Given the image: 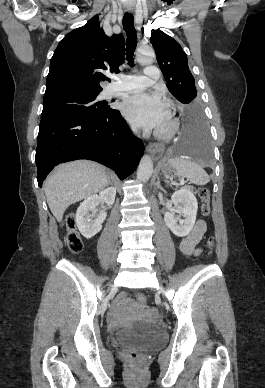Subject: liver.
Listing matches in <instances>:
<instances>
[{"label":"liver","mask_w":265,"mask_h":388,"mask_svg":"<svg viewBox=\"0 0 265 388\" xmlns=\"http://www.w3.org/2000/svg\"><path fill=\"white\" fill-rule=\"evenodd\" d=\"M110 184L104 168L96 162L78 160L61 164L43 184L47 204L57 222H62L68 206L90 198Z\"/></svg>","instance_id":"obj_1"}]
</instances>
